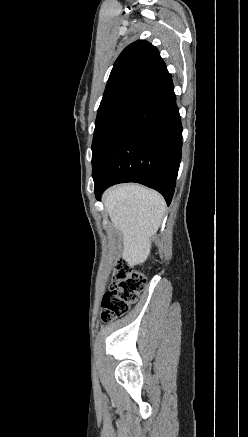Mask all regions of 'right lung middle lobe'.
<instances>
[{
	"label": "right lung middle lobe",
	"mask_w": 248,
	"mask_h": 437,
	"mask_svg": "<svg viewBox=\"0 0 248 437\" xmlns=\"http://www.w3.org/2000/svg\"><path fill=\"white\" fill-rule=\"evenodd\" d=\"M139 93L138 91L127 92L99 106L92 143V166L121 125Z\"/></svg>",
	"instance_id": "right-lung-middle-lobe-1"
}]
</instances>
